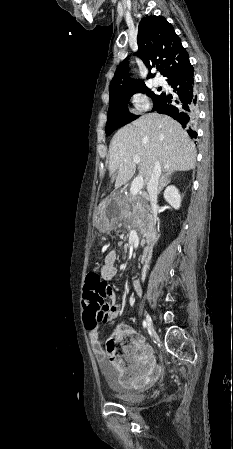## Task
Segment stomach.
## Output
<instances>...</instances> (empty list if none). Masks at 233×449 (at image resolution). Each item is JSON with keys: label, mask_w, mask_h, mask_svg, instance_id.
I'll use <instances>...</instances> for the list:
<instances>
[{"label": "stomach", "mask_w": 233, "mask_h": 449, "mask_svg": "<svg viewBox=\"0 0 233 449\" xmlns=\"http://www.w3.org/2000/svg\"><path fill=\"white\" fill-rule=\"evenodd\" d=\"M123 199L113 196L101 205L97 212L96 222L101 228H111L122 218Z\"/></svg>", "instance_id": "0dacf381"}]
</instances>
